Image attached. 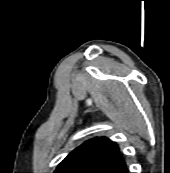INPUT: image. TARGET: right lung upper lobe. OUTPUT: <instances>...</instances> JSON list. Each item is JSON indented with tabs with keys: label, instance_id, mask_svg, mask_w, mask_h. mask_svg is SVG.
I'll return each instance as SVG.
<instances>
[{
	"label": "right lung upper lobe",
	"instance_id": "1",
	"mask_svg": "<svg viewBox=\"0 0 170 173\" xmlns=\"http://www.w3.org/2000/svg\"><path fill=\"white\" fill-rule=\"evenodd\" d=\"M122 163L117 145L105 137H97L73 150L54 173H105Z\"/></svg>",
	"mask_w": 170,
	"mask_h": 173
}]
</instances>
